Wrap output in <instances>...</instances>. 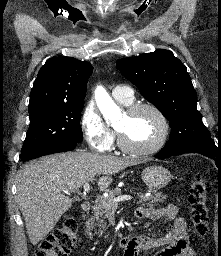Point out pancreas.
I'll use <instances>...</instances> for the list:
<instances>
[{"label": "pancreas", "instance_id": "1", "mask_svg": "<svg viewBox=\"0 0 221 256\" xmlns=\"http://www.w3.org/2000/svg\"><path fill=\"white\" fill-rule=\"evenodd\" d=\"M121 193V190L116 187L115 189L109 191V195L107 198L105 197H98L95 201L92 216L88 218L86 221V233L91 237L92 231L98 228V235L102 236L103 233L106 231L107 226L104 222L105 218L107 217V212L110 209V200ZM139 201L138 204L155 206L159 203H163L167 196L163 195L161 192H156L153 195L146 197L143 195H138ZM108 237V235L106 236Z\"/></svg>", "mask_w": 221, "mask_h": 256}]
</instances>
